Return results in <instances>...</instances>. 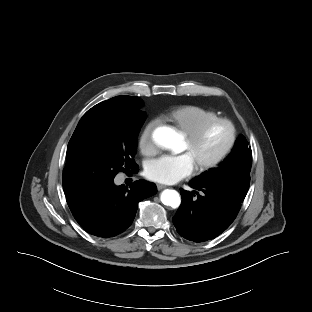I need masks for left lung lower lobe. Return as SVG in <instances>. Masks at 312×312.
I'll return each instance as SVG.
<instances>
[{
  "label": "left lung lower lobe",
  "instance_id": "obj_1",
  "mask_svg": "<svg viewBox=\"0 0 312 312\" xmlns=\"http://www.w3.org/2000/svg\"><path fill=\"white\" fill-rule=\"evenodd\" d=\"M190 186L201 193L181 189L182 203L173 217L174 226L190 241L214 239L234 221L243 199L218 183L192 180Z\"/></svg>",
  "mask_w": 312,
  "mask_h": 312
}]
</instances>
